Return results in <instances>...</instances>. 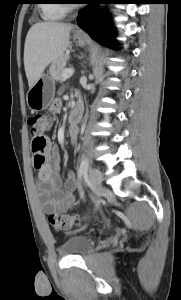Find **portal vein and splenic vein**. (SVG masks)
<instances>
[{"label":"portal vein and splenic vein","instance_id":"1","mask_svg":"<svg viewBox=\"0 0 181 300\" xmlns=\"http://www.w3.org/2000/svg\"><path fill=\"white\" fill-rule=\"evenodd\" d=\"M73 73H74V69H73V68L65 69V71L63 72V78H64V79H67V78H69L70 76H72Z\"/></svg>","mask_w":181,"mask_h":300}]
</instances>
